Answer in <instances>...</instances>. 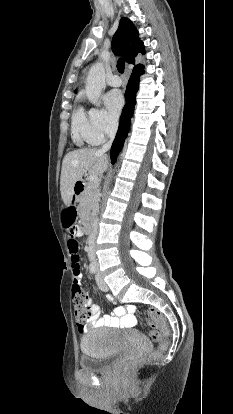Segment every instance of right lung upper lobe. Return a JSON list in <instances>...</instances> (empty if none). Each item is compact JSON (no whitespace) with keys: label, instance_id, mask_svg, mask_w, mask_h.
I'll use <instances>...</instances> for the list:
<instances>
[{"label":"right lung upper lobe","instance_id":"cb5924a9","mask_svg":"<svg viewBox=\"0 0 233 414\" xmlns=\"http://www.w3.org/2000/svg\"><path fill=\"white\" fill-rule=\"evenodd\" d=\"M138 31L132 24V22L125 17H122L119 23V27L113 36L112 50L117 55H122L126 62L135 64L138 54H144V45L142 41H139ZM143 66L138 64L134 67V70H139ZM76 93V90H75Z\"/></svg>","mask_w":233,"mask_h":414}]
</instances>
